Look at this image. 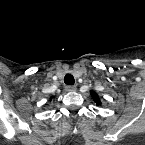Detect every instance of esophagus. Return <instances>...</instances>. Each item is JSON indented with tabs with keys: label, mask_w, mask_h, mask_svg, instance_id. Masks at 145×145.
Returning <instances> with one entry per match:
<instances>
[{
	"label": "esophagus",
	"mask_w": 145,
	"mask_h": 145,
	"mask_svg": "<svg viewBox=\"0 0 145 145\" xmlns=\"http://www.w3.org/2000/svg\"><path fill=\"white\" fill-rule=\"evenodd\" d=\"M65 90L67 92H74V91H76V86L68 85V86L65 87Z\"/></svg>",
	"instance_id": "34e87169"
}]
</instances>
